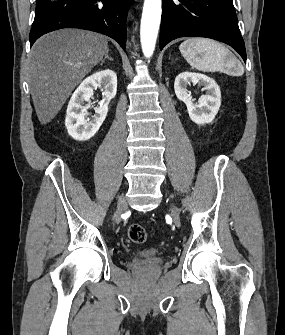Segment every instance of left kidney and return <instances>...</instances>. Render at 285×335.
I'll return each mask as SVG.
<instances>
[{
    "label": "left kidney",
    "instance_id": "1",
    "mask_svg": "<svg viewBox=\"0 0 285 335\" xmlns=\"http://www.w3.org/2000/svg\"><path fill=\"white\" fill-rule=\"evenodd\" d=\"M201 84L205 86L206 96H201L198 104H194L192 96L188 94L187 86L190 84ZM174 90L178 100L187 106L188 114L195 124H210L213 122L220 106L221 92L218 84L204 76V74H194V72H182L174 82Z\"/></svg>",
    "mask_w": 285,
    "mask_h": 335
}]
</instances>
